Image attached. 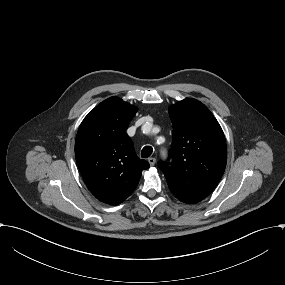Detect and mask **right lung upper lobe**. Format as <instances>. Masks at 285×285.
I'll list each match as a JSON object with an SVG mask.
<instances>
[{
    "instance_id": "obj_1",
    "label": "right lung upper lobe",
    "mask_w": 285,
    "mask_h": 285,
    "mask_svg": "<svg viewBox=\"0 0 285 285\" xmlns=\"http://www.w3.org/2000/svg\"><path fill=\"white\" fill-rule=\"evenodd\" d=\"M136 112L137 107L122 99L108 98L84 118L77 132L75 157L84 182L98 200L110 205L131 195L149 168L126 133Z\"/></svg>"
}]
</instances>
